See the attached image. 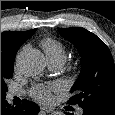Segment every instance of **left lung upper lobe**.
I'll use <instances>...</instances> for the list:
<instances>
[{
  "label": "left lung upper lobe",
  "instance_id": "1",
  "mask_svg": "<svg viewBox=\"0 0 115 115\" xmlns=\"http://www.w3.org/2000/svg\"><path fill=\"white\" fill-rule=\"evenodd\" d=\"M81 56V72L72 86L69 104L115 115V65L104 42L84 28H58Z\"/></svg>",
  "mask_w": 115,
  "mask_h": 115
}]
</instances>
